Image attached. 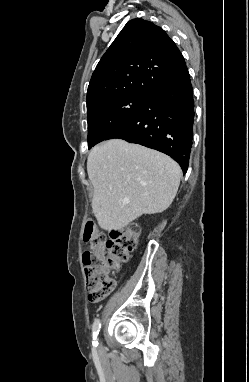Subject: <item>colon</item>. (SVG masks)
<instances>
[{
  "label": "colon",
  "mask_w": 249,
  "mask_h": 382,
  "mask_svg": "<svg viewBox=\"0 0 249 382\" xmlns=\"http://www.w3.org/2000/svg\"><path fill=\"white\" fill-rule=\"evenodd\" d=\"M140 236L137 224H130L124 231H116L106 240L98 234L92 219L85 222L83 238L89 242V250L83 253L82 260L89 290V299L97 302L106 298L115 288V280L108 274L117 271L136 250Z\"/></svg>",
  "instance_id": "obj_1"
}]
</instances>
